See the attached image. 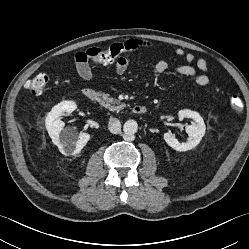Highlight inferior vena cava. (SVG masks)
Masks as SVG:
<instances>
[{"label":"inferior vena cava","instance_id":"inferior-vena-cava-1","mask_svg":"<svg viewBox=\"0 0 249 249\" xmlns=\"http://www.w3.org/2000/svg\"><path fill=\"white\" fill-rule=\"evenodd\" d=\"M108 129L111 133L117 134L121 130V123L116 118H110L108 123Z\"/></svg>","mask_w":249,"mask_h":249}]
</instances>
